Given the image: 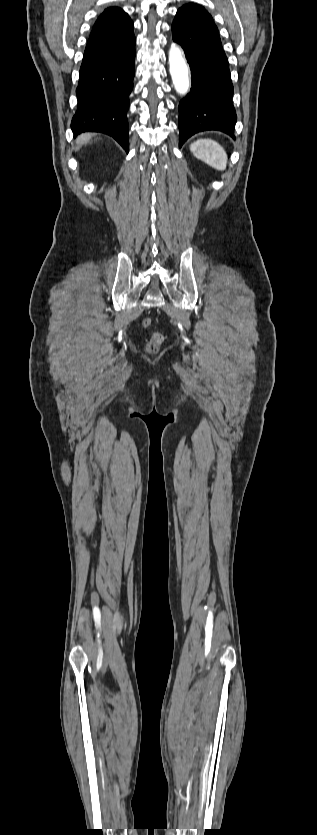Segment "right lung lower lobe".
<instances>
[{"label": "right lung lower lobe", "mask_w": 317, "mask_h": 835, "mask_svg": "<svg viewBox=\"0 0 317 835\" xmlns=\"http://www.w3.org/2000/svg\"><path fill=\"white\" fill-rule=\"evenodd\" d=\"M135 37L106 42L97 35L87 42L76 95L78 109L71 122L74 137L102 132L128 152L129 95L135 74Z\"/></svg>", "instance_id": "right-lung-lower-lobe-1"}]
</instances>
